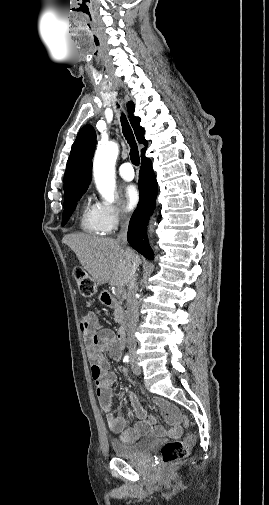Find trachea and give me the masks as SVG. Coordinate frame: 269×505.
Segmentation results:
<instances>
[{
  "mask_svg": "<svg viewBox=\"0 0 269 505\" xmlns=\"http://www.w3.org/2000/svg\"><path fill=\"white\" fill-rule=\"evenodd\" d=\"M121 125H122V131H123L124 137L131 147V150H130L131 162L135 166H138L139 162H140L138 146H137L133 131H132V129L129 125V122L124 114L121 115Z\"/></svg>",
  "mask_w": 269,
  "mask_h": 505,
  "instance_id": "1",
  "label": "trachea"
}]
</instances>
